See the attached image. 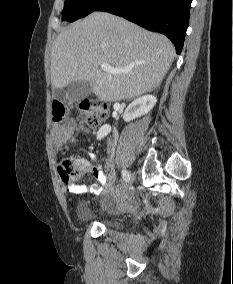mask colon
<instances>
[{"label":"colon","instance_id":"colon-1","mask_svg":"<svg viewBox=\"0 0 233 284\" xmlns=\"http://www.w3.org/2000/svg\"><path fill=\"white\" fill-rule=\"evenodd\" d=\"M79 110L84 115V121L89 127H98L108 116V105L99 99H84L78 103ZM53 120L61 122L68 114L67 107L61 101L53 102ZM59 174L64 184L69 185L80 172L71 158H62L58 166Z\"/></svg>","mask_w":233,"mask_h":284}]
</instances>
